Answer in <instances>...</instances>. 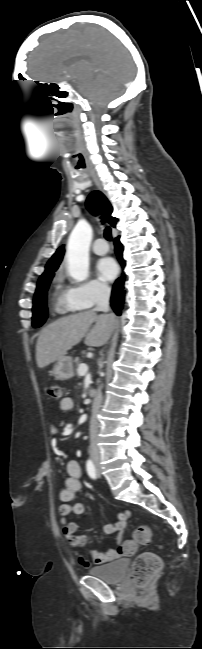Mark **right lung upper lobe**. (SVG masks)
Masks as SVG:
<instances>
[{"instance_id": "cb5924a9", "label": "right lung upper lobe", "mask_w": 202, "mask_h": 649, "mask_svg": "<svg viewBox=\"0 0 202 649\" xmlns=\"http://www.w3.org/2000/svg\"><path fill=\"white\" fill-rule=\"evenodd\" d=\"M87 209L94 215L99 211L103 214L106 221L112 226L115 227L117 218L112 217L113 208L107 198L100 191H93L87 198L86 201ZM64 246H61L57 249L55 254L51 257L48 263L45 266V272L41 275H47L49 273H54L59 267L63 255H64ZM40 276V277H41Z\"/></svg>"}]
</instances>
